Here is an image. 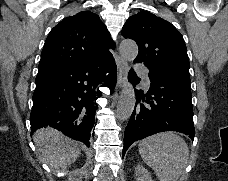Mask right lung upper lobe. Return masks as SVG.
<instances>
[{"label": "right lung upper lobe", "mask_w": 228, "mask_h": 181, "mask_svg": "<svg viewBox=\"0 0 228 181\" xmlns=\"http://www.w3.org/2000/svg\"><path fill=\"white\" fill-rule=\"evenodd\" d=\"M114 42L99 16L81 11L63 19L49 33L38 73L112 55Z\"/></svg>", "instance_id": "right-lung-upper-lobe-1"}]
</instances>
